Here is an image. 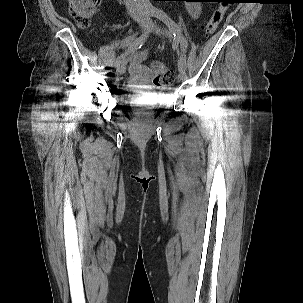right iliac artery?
<instances>
[{"label":"right iliac artery","instance_id":"1","mask_svg":"<svg viewBox=\"0 0 303 303\" xmlns=\"http://www.w3.org/2000/svg\"><path fill=\"white\" fill-rule=\"evenodd\" d=\"M151 32L150 26L147 27V29L144 31L142 35H140L128 48L125 52H123L116 60L114 63L115 67H118L120 65H123L126 63V55L128 52H134L137 49L141 48L144 43L146 42L149 34Z\"/></svg>","mask_w":303,"mask_h":303}]
</instances>
